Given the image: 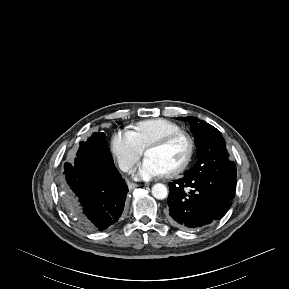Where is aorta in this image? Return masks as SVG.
<instances>
[{"label":"aorta","instance_id":"aorta-1","mask_svg":"<svg viewBox=\"0 0 289 289\" xmlns=\"http://www.w3.org/2000/svg\"><path fill=\"white\" fill-rule=\"evenodd\" d=\"M152 195L154 198L162 200L168 195L167 187L164 184L157 183L152 187Z\"/></svg>","mask_w":289,"mask_h":289}]
</instances>
